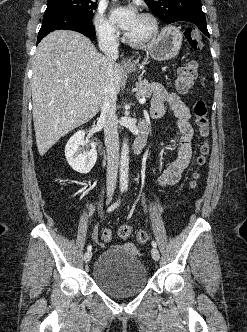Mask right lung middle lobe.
I'll list each match as a JSON object with an SVG mask.
<instances>
[{"instance_id": "dd1d6c3e", "label": "right lung middle lobe", "mask_w": 247, "mask_h": 332, "mask_svg": "<svg viewBox=\"0 0 247 332\" xmlns=\"http://www.w3.org/2000/svg\"><path fill=\"white\" fill-rule=\"evenodd\" d=\"M96 8L97 3L93 0H48L44 15L52 13H73L92 19L93 11Z\"/></svg>"}]
</instances>
